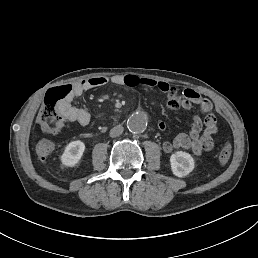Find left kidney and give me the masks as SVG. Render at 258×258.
Returning a JSON list of instances; mask_svg holds the SVG:
<instances>
[{
	"label": "left kidney",
	"mask_w": 258,
	"mask_h": 258,
	"mask_svg": "<svg viewBox=\"0 0 258 258\" xmlns=\"http://www.w3.org/2000/svg\"><path fill=\"white\" fill-rule=\"evenodd\" d=\"M171 169L175 176H187L194 169V159L189 153L178 151L170 157Z\"/></svg>",
	"instance_id": "5707ae66"
}]
</instances>
